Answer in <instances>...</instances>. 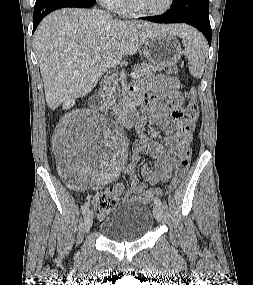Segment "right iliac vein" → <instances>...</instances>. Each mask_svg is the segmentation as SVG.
I'll use <instances>...</instances> for the list:
<instances>
[{
  "mask_svg": "<svg viewBox=\"0 0 253 285\" xmlns=\"http://www.w3.org/2000/svg\"><path fill=\"white\" fill-rule=\"evenodd\" d=\"M93 224V212L91 210L87 211L84 217V229L88 232Z\"/></svg>",
  "mask_w": 253,
  "mask_h": 285,
  "instance_id": "right-iliac-vein-1",
  "label": "right iliac vein"
}]
</instances>
